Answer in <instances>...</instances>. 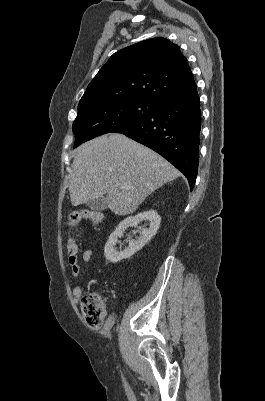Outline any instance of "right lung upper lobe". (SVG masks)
<instances>
[{
	"mask_svg": "<svg viewBox=\"0 0 265 401\" xmlns=\"http://www.w3.org/2000/svg\"><path fill=\"white\" fill-rule=\"evenodd\" d=\"M195 85L180 48L157 37L114 53L88 85L78 106L107 98L160 102Z\"/></svg>",
	"mask_w": 265,
	"mask_h": 401,
	"instance_id": "cb5924a9",
	"label": "right lung upper lobe"
}]
</instances>
